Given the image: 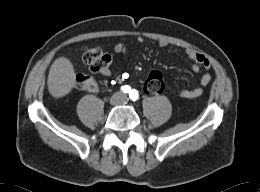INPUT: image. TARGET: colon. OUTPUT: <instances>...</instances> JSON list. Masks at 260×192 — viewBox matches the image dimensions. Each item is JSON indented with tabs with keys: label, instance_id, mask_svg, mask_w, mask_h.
Masks as SVG:
<instances>
[{
	"label": "colon",
	"instance_id": "5ec220e1",
	"mask_svg": "<svg viewBox=\"0 0 260 192\" xmlns=\"http://www.w3.org/2000/svg\"><path fill=\"white\" fill-rule=\"evenodd\" d=\"M83 62L93 72H101L110 67L112 58L105 53L99 46L85 47L82 54ZM76 86L86 92H95L99 90L98 82L87 74L76 76ZM165 89V80L160 72L153 71L149 74L144 83V91L148 94H159Z\"/></svg>",
	"mask_w": 260,
	"mask_h": 192
}]
</instances>
